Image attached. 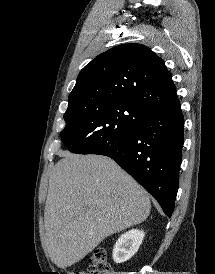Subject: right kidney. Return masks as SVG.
I'll list each match as a JSON object with an SVG mask.
<instances>
[{"label":"right kidney","mask_w":215,"mask_h":274,"mask_svg":"<svg viewBox=\"0 0 215 274\" xmlns=\"http://www.w3.org/2000/svg\"><path fill=\"white\" fill-rule=\"evenodd\" d=\"M144 236L145 233L137 229H132L122 234L114 245V261L123 263L129 260L138 251Z\"/></svg>","instance_id":"ca27d5eb"}]
</instances>
